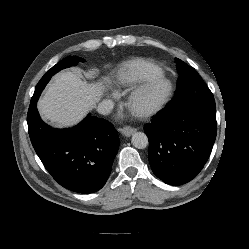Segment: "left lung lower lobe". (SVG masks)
Wrapping results in <instances>:
<instances>
[{"instance_id": "obj_1", "label": "left lung lower lobe", "mask_w": 249, "mask_h": 249, "mask_svg": "<svg viewBox=\"0 0 249 249\" xmlns=\"http://www.w3.org/2000/svg\"><path fill=\"white\" fill-rule=\"evenodd\" d=\"M144 131L154 174L170 185L185 184L197 176L211 154L217 133L216 106H195L178 113L164 109Z\"/></svg>"}]
</instances>
